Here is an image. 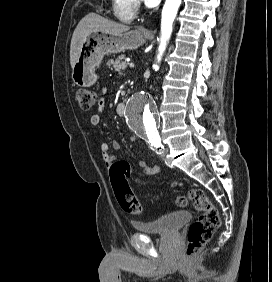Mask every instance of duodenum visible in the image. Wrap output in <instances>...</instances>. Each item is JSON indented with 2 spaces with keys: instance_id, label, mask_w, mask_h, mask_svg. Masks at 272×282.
<instances>
[{
  "instance_id": "410a0bca",
  "label": "duodenum",
  "mask_w": 272,
  "mask_h": 282,
  "mask_svg": "<svg viewBox=\"0 0 272 282\" xmlns=\"http://www.w3.org/2000/svg\"><path fill=\"white\" fill-rule=\"evenodd\" d=\"M120 106L123 108L125 106V104H120Z\"/></svg>"
}]
</instances>
